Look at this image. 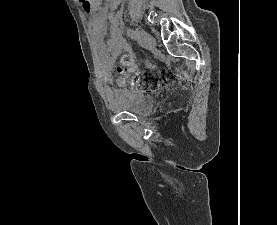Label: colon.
Masks as SVG:
<instances>
[{
  "label": "colon",
  "instance_id": "obj_1",
  "mask_svg": "<svg viewBox=\"0 0 277 225\" xmlns=\"http://www.w3.org/2000/svg\"><path fill=\"white\" fill-rule=\"evenodd\" d=\"M133 65V58L125 54L120 60V72L124 73ZM131 84L145 92H152L157 89V73L153 69L138 71L131 77Z\"/></svg>",
  "mask_w": 277,
  "mask_h": 225
}]
</instances>
